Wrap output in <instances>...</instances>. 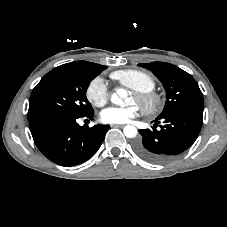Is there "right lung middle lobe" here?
Instances as JSON below:
<instances>
[{
    "instance_id": "dd1d6c3e",
    "label": "right lung middle lobe",
    "mask_w": 227,
    "mask_h": 227,
    "mask_svg": "<svg viewBox=\"0 0 227 227\" xmlns=\"http://www.w3.org/2000/svg\"><path fill=\"white\" fill-rule=\"evenodd\" d=\"M106 68L86 61L71 62L54 68L33 89L28 120L42 114L84 116L93 112L86 91L90 80Z\"/></svg>"
}]
</instances>
